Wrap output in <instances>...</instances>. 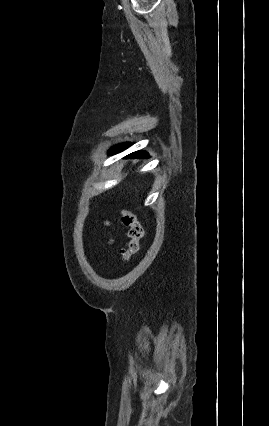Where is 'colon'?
Returning a JSON list of instances; mask_svg holds the SVG:
<instances>
[{
	"instance_id": "colon-1",
	"label": "colon",
	"mask_w": 269,
	"mask_h": 426,
	"mask_svg": "<svg viewBox=\"0 0 269 426\" xmlns=\"http://www.w3.org/2000/svg\"><path fill=\"white\" fill-rule=\"evenodd\" d=\"M121 222L128 229L129 237L128 246L121 255L122 263H126L139 251L140 241L144 237V228L136 214L127 208L121 211Z\"/></svg>"
}]
</instances>
